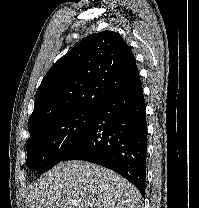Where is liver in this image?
Masks as SVG:
<instances>
[{
    "mask_svg": "<svg viewBox=\"0 0 199 208\" xmlns=\"http://www.w3.org/2000/svg\"><path fill=\"white\" fill-rule=\"evenodd\" d=\"M138 189L114 171L86 161L60 162L33 185L29 208H139Z\"/></svg>",
    "mask_w": 199,
    "mask_h": 208,
    "instance_id": "liver-1",
    "label": "liver"
}]
</instances>
